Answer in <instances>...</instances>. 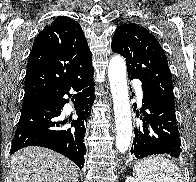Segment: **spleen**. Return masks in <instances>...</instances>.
<instances>
[{
  "mask_svg": "<svg viewBox=\"0 0 196 182\" xmlns=\"http://www.w3.org/2000/svg\"><path fill=\"white\" fill-rule=\"evenodd\" d=\"M139 182H183L179 167L161 156L148 157L133 167Z\"/></svg>",
  "mask_w": 196,
  "mask_h": 182,
  "instance_id": "obj_1",
  "label": "spleen"
}]
</instances>
